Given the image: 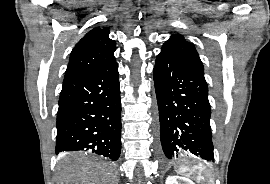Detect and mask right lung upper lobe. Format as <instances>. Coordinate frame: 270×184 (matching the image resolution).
<instances>
[{
	"label": "right lung upper lobe",
	"mask_w": 270,
	"mask_h": 184,
	"mask_svg": "<svg viewBox=\"0 0 270 184\" xmlns=\"http://www.w3.org/2000/svg\"><path fill=\"white\" fill-rule=\"evenodd\" d=\"M115 49L116 43L109 39L107 28L92 29L72 50L64 79L116 63Z\"/></svg>",
	"instance_id": "obj_1"
}]
</instances>
